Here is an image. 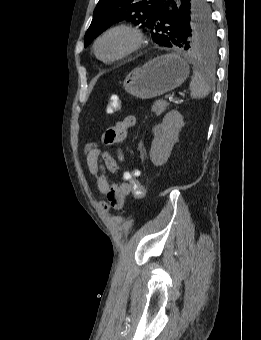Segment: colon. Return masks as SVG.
Wrapping results in <instances>:
<instances>
[{
	"label": "colon",
	"mask_w": 261,
	"mask_h": 340,
	"mask_svg": "<svg viewBox=\"0 0 261 340\" xmlns=\"http://www.w3.org/2000/svg\"><path fill=\"white\" fill-rule=\"evenodd\" d=\"M121 108V101L115 95L111 96L107 103V112L115 113ZM139 172L136 170L126 171L123 174V178L131 187V193L137 198L142 199L147 194V187L138 180Z\"/></svg>",
	"instance_id": "1"
}]
</instances>
